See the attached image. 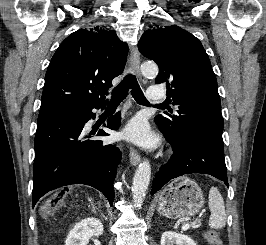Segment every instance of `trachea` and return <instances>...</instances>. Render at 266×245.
Returning <instances> with one entry per match:
<instances>
[{
    "mask_svg": "<svg viewBox=\"0 0 266 245\" xmlns=\"http://www.w3.org/2000/svg\"><path fill=\"white\" fill-rule=\"evenodd\" d=\"M129 89H131V94L133 98L136 100V102L140 104H144V105L146 104L149 105L141 88L139 87L137 79L132 74H127L126 77H124V80L121 82V84L118 85V87H116L112 91V98H111L110 103L122 102L124 98H126Z\"/></svg>",
    "mask_w": 266,
    "mask_h": 245,
    "instance_id": "obj_1",
    "label": "trachea"
}]
</instances>
